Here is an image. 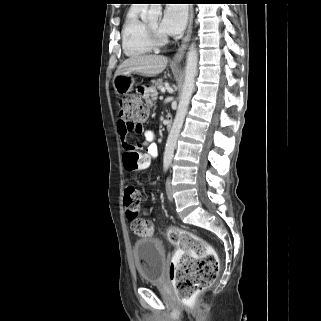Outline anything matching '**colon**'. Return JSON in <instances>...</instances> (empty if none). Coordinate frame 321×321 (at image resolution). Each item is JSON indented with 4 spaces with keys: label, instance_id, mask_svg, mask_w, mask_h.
Wrapping results in <instances>:
<instances>
[{
    "label": "colon",
    "instance_id": "colon-1",
    "mask_svg": "<svg viewBox=\"0 0 321 321\" xmlns=\"http://www.w3.org/2000/svg\"><path fill=\"white\" fill-rule=\"evenodd\" d=\"M120 119L130 131L140 133L148 118L145 103L137 96H126L120 100ZM127 170L146 168L149 159L139 151H133L124 158ZM124 204L131 228L138 236H152L151 221L138 219L140 207L139 190L128 185L125 188ZM169 241L178 247L170 265V278L179 299L188 301L207 288L217 277L219 261L214 249L198 235L178 227L167 231Z\"/></svg>",
    "mask_w": 321,
    "mask_h": 321
}]
</instances>
